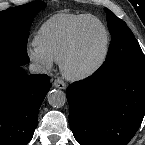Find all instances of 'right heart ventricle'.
Listing matches in <instances>:
<instances>
[{
  "mask_svg": "<svg viewBox=\"0 0 145 145\" xmlns=\"http://www.w3.org/2000/svg\"><path fill=\"white\" fill-rule=\"evenodd\" d=\"M91 14L58 13L37 31L33 44L55 62H60L71 46L77 26Z\"/></svg>",
  "mask_w": 145,
  "mask_h": 145,
  "instance_id": "right-heart-ventricle-1",
  "label": "right heart ventricle"
}]
</instances>
